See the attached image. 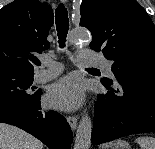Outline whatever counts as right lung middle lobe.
Returning <instances> with one entry per match:
<instances>
[{"mask_svg": "<svg viewBox=\"0 0 155 149\" xmlns=\"http://www.w3.org/2000/svg\"><path fill=\"white\" fill-rule=\"evenodd\" d=\"M32 73H23L0 67V104H29L40 98L34 92Z\"/></svg>", "mask_w": 155, "mask_h": 149, "instance_id": "1", "label": "right lung middle lobe"}]
</instances>
